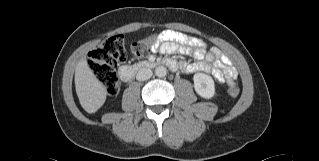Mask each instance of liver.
Here are the masks:
<instances>
[{"label":"liver","instance_id":"liver-1","mask_svg":"<svg viewBox=\"0 0 319 161\" xmlns=\"http://www.w3.org/2000/svg\"><path fill=\"white\" fill-rule=\"evenodd\" d=\"M75 87L82 108L95 113L105 102L107 90L82 58L75 69Z\"/></svg>","mask_w":319,"mask_h":161}]
</instances>
